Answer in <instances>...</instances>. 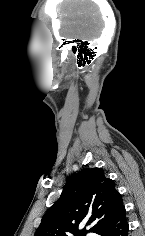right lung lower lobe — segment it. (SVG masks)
<instances>
[{
    "mask_svg": "<svg viewBox=\"0 0 145 236\" xmlns=\"http://www.w3.org/2000/svg\"><path fill=\"white\" fill-rule=\"evenodd\" d=\"M129 226L123 207L113 218L104 223L95 233L100 236H128Z\"/></svg>",
    "mask_w": 145,
    "mask_h": 236,
    "instance_id": "obj_1",
    "label": "right lung lower lobe"
}]
</instances>
